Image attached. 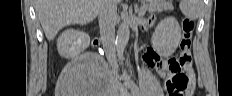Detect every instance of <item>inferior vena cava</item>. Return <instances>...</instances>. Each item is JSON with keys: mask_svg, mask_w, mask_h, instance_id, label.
<instances>
[{"mask_svg": "<svg viewBox=\"0 0 232 96\" xmlns=\"http://www.w3.org/2000/svg\"><path fill=\"white\" fill-rule=\"evenodd\" d=\"M117 14L116 0H101L98 14L100 37L103 48L110 60L115 58V24Z\"/></svg>", "mask_w": 232, "mask_h": 96, "instance_id": "1", "label": "inferior vena cava"}]
</instances>
